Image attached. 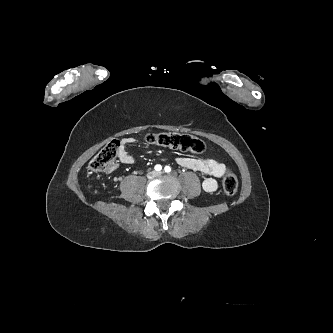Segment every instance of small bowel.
<instances>
[{"label":"small bowel","instance_id":"obj_1","mask_svg":"<svg viewBox=\"0 0 333 333\" xmlns=\"http://www.w3.org/2000/svg\"><path fill=\"white\" fill-rule=\"evenodd\" d=\"M135 143L133 137L123 138L120 141L118 157L121 163L125 165L134 164V158L128 152V148ZM176 163L181 167L200 172L207 177L202 182L203 190L207 193H213L218 188L216 178L224 176L226 166L214 158H191V157H177Z\"/></svg>","mask_w":333,"mask_h":333}]
</instances>
